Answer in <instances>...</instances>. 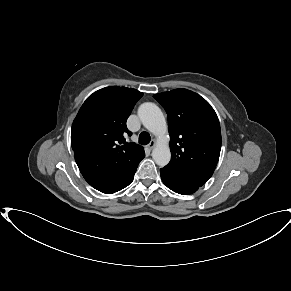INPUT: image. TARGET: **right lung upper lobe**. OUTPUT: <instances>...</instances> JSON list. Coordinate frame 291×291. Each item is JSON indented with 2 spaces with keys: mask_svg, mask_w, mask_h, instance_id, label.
<instances>
[{
  "mask_svg": "<svg viewBox=\"0 0 291 291\" xmlns=\"http://www.w3.org/2000/svg\"><path fill=\"white\" fill-rule=\"evenodd\" d=\"M142 96L133 88L111 86L86 99L71 130V146L83 176L121 172L145 154L142 146L124 138L131 135L126 121Z\"/></svg>",
  "mask_w": 291,
  "mask_h": 291,
  "instance_id": "cb5924a9",
  "label": "right lung upper lobe"
}]
</instances>
